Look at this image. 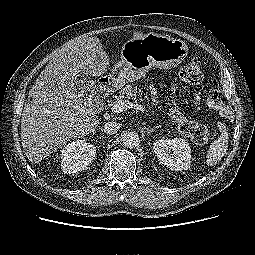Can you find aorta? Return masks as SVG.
I'll return each mask as SVG.
<instances>
[{
  "mask_svg": "<svg viewBox=\"0 0 255 255\" xmlns=\"http://www.w3.org/2000/svg\"><path fill=\"white\" fill-rule=\"evenodd\" d=\"M140 138L136 132H127L123 136V144L127 148H135L139 145Z\"/></svg>",
  "mask_w": 255,
  "mask_h": 255,
  "instance_id": "aorta-1",
  "label": "aorta"
}]
</instances>
